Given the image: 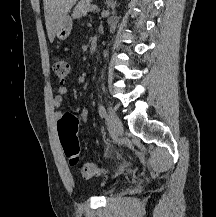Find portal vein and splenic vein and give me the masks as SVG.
Instances as JSON below:
<instances>
[{"label": "portal vein and splenic vein", "instance_id": "obj_1", "mask_svg": "<svg viewBox=\"0 0 216 217\" xmlns=\"http://www.w3.org/2000/svg\"><path fill=\"white\" fill-rule=\"evenodd\" d=\"M96 8H97L96 5H91V7H90V11H94Z\"/></svg>", "mask_w": 216, "mask_h": 217}]
</instances>
